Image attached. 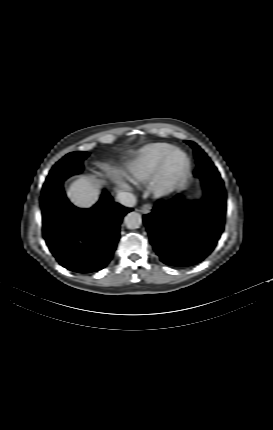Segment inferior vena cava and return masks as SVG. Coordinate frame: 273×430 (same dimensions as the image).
I'll return each mask as SVG.
<instances>
[{"label": "inferior vena cava", "mask_w": 273, "mask_h": 430, "mask_svg": "<svg viewBox=\"0 0 273 430\" xmlns=\"http://www.w3.org/2000/svg\"><path fill=\"white\" fill-rule=\"evenodd\" d=\"M116 199L126 207H133L136 204V197L132 193L120 192L117 194Z\"/></svg>", "instance_id": "602c4592"}]
</instances>
